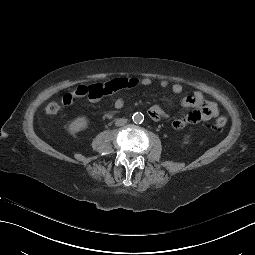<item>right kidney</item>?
<instances>
[{
  "label": "right kidney",
  "instance_id": "obj_1",
  "mask_svg": "<svg viewBox=\"0 0 255 255\" xmlns=\"http://www.w3.org/2000/svg\"><path fill=\"white\" fill-rule=\"evenodd\" d=\"M88 120L84 117L77 118L73 122H71L67 127V132L71 135H75L78 132L87 129Z\"/></svg>",
  "mask_w": 255,
  "mask_h": 255
}]
</instances>
